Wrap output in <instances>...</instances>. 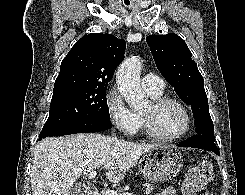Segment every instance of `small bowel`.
I'll return each instance as SVG.
<instances>
[{
    "label": "small bowel",
    "instance_id": "1",
    "mask_svg": "<svg viewBox=\"0 0 245 195\" xmlns=\"http://www.w3.org/2000/svg\"><path fill=\"white\" fill-rule=\"evenodd\" d=\"M156 195H176L175 190L172 187H167Z\"/></svg>",
    "mask_w": 245,
    "mask_h": 195
}]
</instances>
